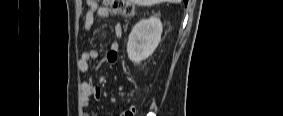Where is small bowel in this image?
<instances>
[{"instance_id": "obj_1", "label": "small bowel", "mask_w": 283, "mask_h": 116, "mask_svg": "<svg viewBox=\"0 0 283 116\" xmlns=\"http://www.w3.org/2000/svg\"><path fill=\"white\" fill-rule=\"evenodd\" d=\"M87 10L84 13V28L86 32H89L94 24L96 18L105 20L109 18V11L106 7L100 6L97 1H87ZM115 35L119 39L122 35V25L116 23L114 27ZM119 49L118 40L113 41L104 58V61L113 63L117 59V51ZM98 58V51L95 49H88L81 54L78 60V68L80 71L86 73L89 71V63L91 60ZM82 91V103L84 107H88L91 100H98L101 96V89L94 85L89 79L84 80L81 84Z\"/></svg>"}]
</instances>
